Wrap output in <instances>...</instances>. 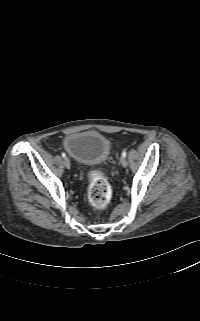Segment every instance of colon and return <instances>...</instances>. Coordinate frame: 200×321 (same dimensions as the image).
<instances>
[{
	"label": "colon",
	"instance_id": "1",
	"mask_svg": "<svg viewBox=\"0 0 200 321\" xmlns=\"http://www.w3.org/2000/svg\"><path fill=\"white\" fill-rule=\"evenodd\" d=\"M88 196L90 203L97 209L105 208L111 200V187L99 171L89 174Z\"/></svg>",
	"mask_w": 200,
	"mask_h": 321
}]
</instances>
